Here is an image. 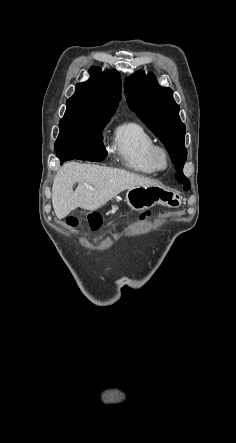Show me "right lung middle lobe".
Returning <instances> with one entry per match:
<instances>
[{
    "instance_id": "1",
    "label": "right lung middle lobe",
    "mask_w": 236,
    "mask_h": 443,
    "mask_svg": "<svg viewBox=\"0 0 236 443\" xmlns=\"http://www.w3.org/2000/svg\"><path fill=\"white\" fill-rule=\"evenodd\" d=\"M112 115L78 114L66 112L60 120V133L55 142V151L65 147L96 145L102 146L101 131Z\"/></svg>"
}]
</instances>
